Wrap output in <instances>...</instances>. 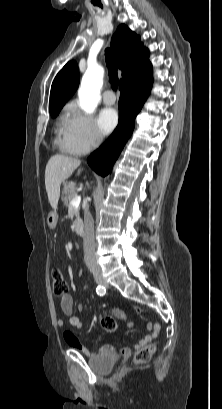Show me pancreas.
<instances>
[{
  "mask_svg": "<svg viewBox=\"0 0 222 409\" xmlns=\"http://www.w3.org/2000/svg\"><path fill=\"white\" fill-rule=\"evenodd\" d=\"M77 196L76 187L73 184L63 183L62 200L66 206H70V201ZM80 208L75 210V215L79 218Z\"/></svg>",
  "mask_w": 222,
  "mask_h": 409,
  "instance_id": "pancreas-1",
  "label": "pancreas"
}]
</instances>
